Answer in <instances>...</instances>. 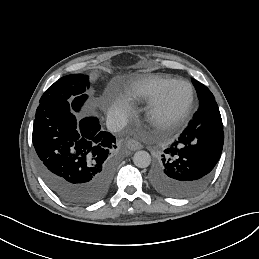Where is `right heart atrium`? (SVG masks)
I'll return each mask as SVG.
<instances>
[{
	"mask_svg": "<svg viewBox=\"0 0 259 259\" xmlns=\"http://www.w3.org/2000/svg\"><path fill=\"white\" fill-rule=\"evenodd\" d=\"M111 98L113 101V110L109 117L121 123L129 121L135 110L134 102L127 95L122 94Z\"/></svg>",
	"mask_w": 259,
	"mask_h": 259,
	"instance_id": "d8ad5b80",
	"label": "right heart atrium"
}]
</instances>
